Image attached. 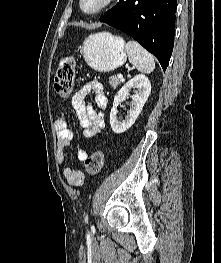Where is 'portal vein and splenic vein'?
Returning a JSON list of instances; mask_svg holds the SVG:
<instances>
[{
	"instance_id": "1",
	"label": "portal vein and splenic vein",
	"mask_w": 221,
	"mask_h": 263,
	"mask_svg": "<svg viewBox=\"0 0 221 263\" xmlns=\"http://www.w3.org/2000/svg\"><path fill=\"white\" fill-rule=\"evenodd\" d=\"M117 77H118L119 79H123V75H122L121 73H119V74L117 75Z\"/></svg>"
}]
</instances>
